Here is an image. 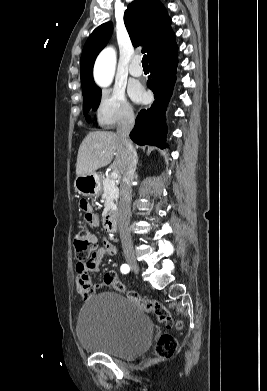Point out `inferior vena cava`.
Segmentation results:
<instances>
[{
    "instance_id": "obj_1",
    "label": "inferior vena cava",
    "mask_w": 267,
    "mask_h": 391,
    "mask_svg": "<svg viewBox=\"0 0 267 391\" xmlns=\"http://www.w3.org/2000/svg\"><path fill=\"white\" fill-rule=\"evenodd\" d=\"M135 117L132 112L127 113L117 127V135L125 147L127 167L123 173L120 189L118 228L122 247L125 253L132 252L133 245L129 231L130 209L132 200V182L138 161L137 153L129 139V134L134 127Z\"/></svg>"
}]
</instances>
